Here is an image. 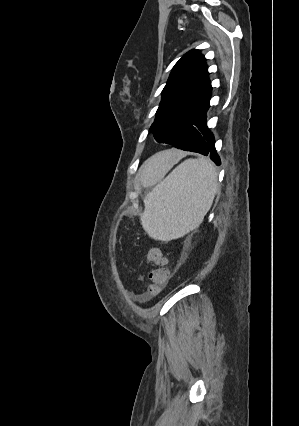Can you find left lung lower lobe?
I'll return each mask as SVG.
<instances>
[{
  "mask_svg": "<svg viewBox=\"0 0 299 426\" xmlns=\"http://www.w3.org/2000/svg\"><path fill=\"white\" fill-rule=\"evenodd\" d=\"M209 107L208 103L196 114L171 145L178 149L210 155L211 160L220 165L221 161L216 153L214 136L206 125V112Z\"/></svg>",
  "mask_w": 299,
  "mask_h": 426,
  "instance_id": "1",
  "label": "left lung lower lobe"
}]
</instances>
